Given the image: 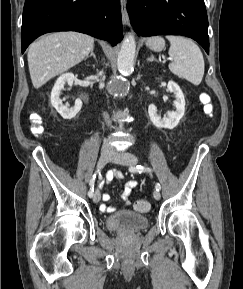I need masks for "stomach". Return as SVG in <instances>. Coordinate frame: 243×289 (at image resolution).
<instances>
[{"instance_id":"stomach-1","label":"stomach","mask_w":243,"mask_h":289,"mask_svg":"<svg viewBox=\"0 0 243 289\" xmlns=\"http://www.w3.org/2000/svg\"><path fill=\"white\" fill-rule=\"evenodd\" d=\"M146 46L153 51L159 52L164 48L165 42L162 37L155 36L146 41Z\"/></svg>"}]
</instances>
